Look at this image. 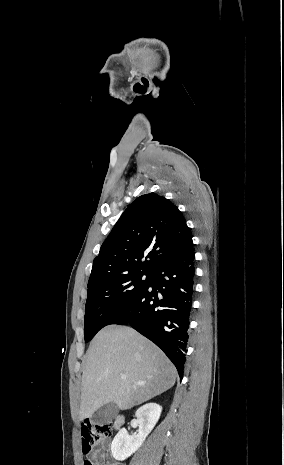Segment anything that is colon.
Listing matches in <instances>:
<instances>
[{
    "mask_svg": "<svg viewBox=\"0 0 284 465\" xmlns=\"http://www.w3.org/2000/svg\"><path fill=\"white\" fill-rule=\"evenodd\" d=\"M112 429L108 422H95L89 425L81 434V452L84 456L88 455L95 443L101 442L111 435ZM83 465H93L86 459Z\"/></svg>",
    "mask_w": 284,
    "mask_h": 465,
    "instance_id": "obj_1",
    "label": "colon"
}]
</instances>
